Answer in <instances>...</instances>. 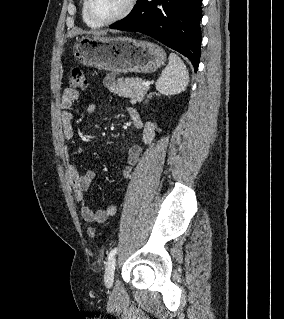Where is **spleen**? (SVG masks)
<instances>
[{
	"instance_id": "obj_1",
	"label": "spleen",
	"mask_w": 284,
	"mask_h": 319,
	"mask_svg": "<svg viewBox=\"0 0 284 319\" xmlns=\"http://www.w3.org/2000/svg\"><path fill=\"white\" fill-rule=\"evenodd\" d=\"M189 82V75L183 61L175 53L169 55L167 67L156 82V89L164 95H175L184 91Z\"/></svg>"
}]
</instances>
